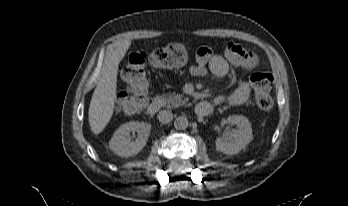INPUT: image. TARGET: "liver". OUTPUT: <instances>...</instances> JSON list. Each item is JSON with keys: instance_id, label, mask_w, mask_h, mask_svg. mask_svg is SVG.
<instances>
[{"instance_id": "obj_1", "label": "liver", "mask_w": 348, "mask_h": 206, "mask_svg": "<svg viewBox=\"0 0 348 206\" xmlns=\"http://www.w3.org/2000/svg\"><path fill=\"white\" fill-rule=\"evenodd\" d=\"M131 41L122 42L105 61L100 80L91 98L88 118L91 131L101 133L109 123L115 108L118 65L124 58Z\"/></svg>"}]
</instances>
